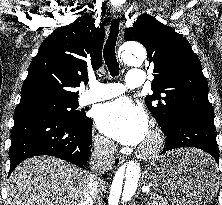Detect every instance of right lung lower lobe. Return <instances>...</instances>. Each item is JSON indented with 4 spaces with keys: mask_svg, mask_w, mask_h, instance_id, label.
<instances>
[{
    "mask_svg": "<svg viewBox=\"0 0 222 205\" xmlns=\"http://www.w3.org/2000/svg\"><path fill=\"white\" fill-rule=\"evenodd\" d=\"M91 147L92 121L78 125L46 111L15 112L9 175L21 161L38 155L56 156L77 166H87Z\"/></svg>",
    "mask_w": 222,
    "mask_h": 205,
    "instance_id": "98d812e1",
    "label": "right lung lower lobe"
}]
</instances>
